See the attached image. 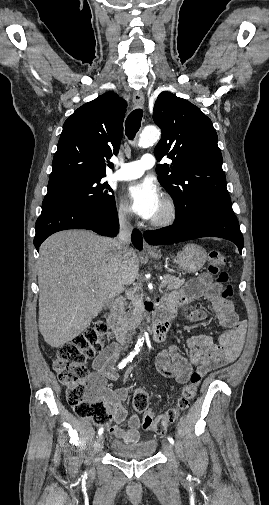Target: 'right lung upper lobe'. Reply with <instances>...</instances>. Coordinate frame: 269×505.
<instances>
[{"label":"right lung upper lobe","instance_id":"cb5924a9","mask_svg":"<svg viewBox=\"0 0 269 505\" xmlns=\"http://www.w3.org/2000/svg\"><path fill=\"white\" fill-rule=\"evenodd\" d=\"M126 106L116 93L107 92L78 108L65 121L48 189L106 176L105 161L119 151Z\"/></svg>","mask_w":269,"mask_h":505}]
</instances>
